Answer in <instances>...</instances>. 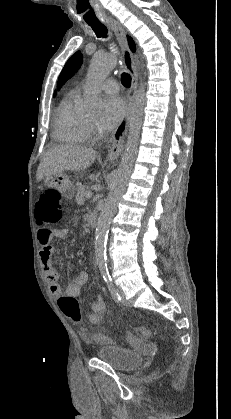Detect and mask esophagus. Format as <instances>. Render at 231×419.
I'll use <instances>...</instances> for the list:
<instances>
[{
  "instance_id": "esophagus-1",
  "label": "esophagus",
  "mask_w": 231,
  "mask_h": 419,
  "mask_svg": "<svg viewBox=\"0 0 231 419\" xmlns=\"http://www.w3.org/2000/svg\"><path fill=\"white\" fill-rule=\"evenodd\" d=\"M105 21L116 35L122 50L124 66L131 76V87L128 92L127 99V112L109 140L110 146L107 153V159L115 160L121 155L124 148V141L128 130L132 104L138 85V73L136 69L134 54L129 48L124 27L111 17H106Z\"/></svg>"
}]
</instances>
